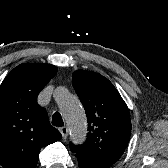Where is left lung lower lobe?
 I'll list each match as a JSON object with an SVG mask.
<instances>
[{"label": "left lung lower lobe", "instance_id": "0a47b994", "mask_svg": "<svg viewBox=\"0 0 168 168\" xmlns=\"http://www.w3.org/2000/svg\"><path fill=\"white\" fill-rule=\"evenodd\" d=\"M79 162L80 168H110L111 165L104 163L81 151H73Z\"/></svg>", "mask_w": 168, "mask_h": 168}]
</instances>
